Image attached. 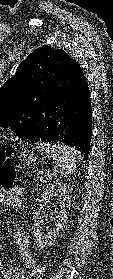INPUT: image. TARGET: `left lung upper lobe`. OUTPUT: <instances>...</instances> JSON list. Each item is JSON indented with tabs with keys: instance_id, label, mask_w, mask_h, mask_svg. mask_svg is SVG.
Returning a JSON list of instances; mask_svg holds the SVG:
<instances>
[{
	"instance_id": "5c2ea615",
	"label": "left lung upper lobe",
	"mask_w": 113,
	"mask_h": 279,
	"mask_svg": "<svg viewBox=\"0 0 113 279\" xmlns=\"http://www.w3.org/2000/svg\"><path fill=\"white\" fill-rule=\"evenodd\" d=\"M62 49L42 46L23 60L0 89V127L20 137L30 126L36 105L70 60Z\"/></svg>"
}]
</instances>
